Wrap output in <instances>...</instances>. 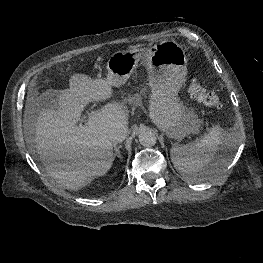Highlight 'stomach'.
I'll return each instance as SVG.
<instances>
[{"label":"stomach","mask_w":263,"mask_h":263,"mask_svg":"<svg viewBox=\"0 0 263 263\" xmlns=\"http://www.w3.org/2000/svg\"><path fill=\"white\" fill-rule=\"evenodd\" d=\"M140 61L148 70L149 111L153 123L176 140L197 132V116L186 110L178 98L187 76V57L182 46L174 40H163L148 48L117 51L107 61L106 80L113 87L122 86Z\"/></svg>","instance_id":"1"}]
</instances>
